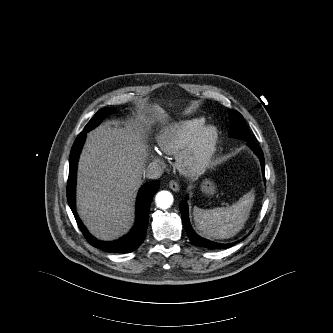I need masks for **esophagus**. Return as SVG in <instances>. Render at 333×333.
I'll return each mask as SVG.
<instances>
[{
  "label": "esophagus",
  "instance_id": "obj_1",
  "mask_svg": "<svg viewBox=\"0 0 333 333\" xmlns=\"http://www.w3.org/2000/svg\"><path fill=\"white\" fill-rule=\"evenodd\" d=\"M169 187L175 192H178L180 189L179 183L175 180H171L169 182Z\"/></svg>",
  "mask_w": 333,
  "mask_h": 333
}]
</instances>
